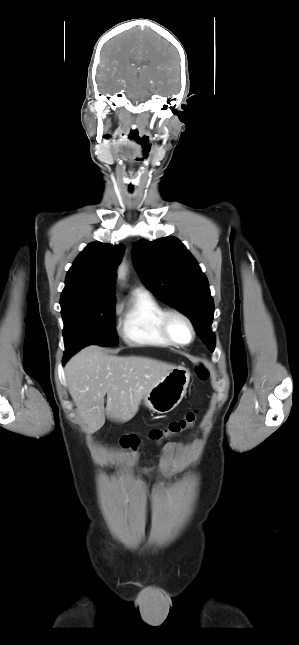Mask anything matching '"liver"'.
<instances>
[{
    "label": "liver",
    "mask_w": 299,
    "mask_h": 645,
    "mask_svg": "<svg viewBox=\"0 0 299 645\" xmlns=\"http://www.w3.org/2000/svg\"><path fill=\"white\" fill-rule=\"evenodd\" d=\"M174 368L146 357L108 355L97 345L82 349L67 362L65 375L84 431H98L106 416L121 423L131 420L142 398Z\"/></svg>",
    "instance_id": "liver-1"
}]
</instances>
